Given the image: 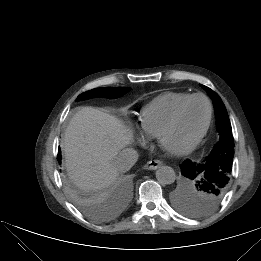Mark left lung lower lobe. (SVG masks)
I'll return each instance as SVG.
<instances>
[{
  "label": "left lung lower lobe",
  "mask_w": 261,
  "mask_h": 261,
  "mask_svg": "<svg viewBox=\"0 0 261 261\" xmlns=\"http://www.w3.org/2000/svg\"><path fill=\"white\" fill-rule=\"evenodd\" d=\"M181 174L186 178H195L200 175V165L198 167L195 166L190 160H185L181 165Z\"/></svg>",
  "instance_id": "obj_1"
}]
</instances>
